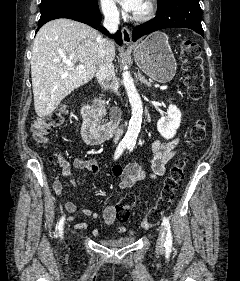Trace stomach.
Instances as JSON below:
<instances>
[{
    "mask_svg": "<svg viewBox=\"0 0 240 281\" xmlns=\"http://www.w3.org/2000/svg\"><path fill=\"white\" fill-rule=\"evenodd\" d=\"M133 50L138 67L155 81L166 83L174 77L177 63L164 33L149 35Z\"/></svg>",
    "mask_w": 240,
    "mask_h": 281,
    "instance_id": "1",
    "label": "stomach"
}]
</instances>
